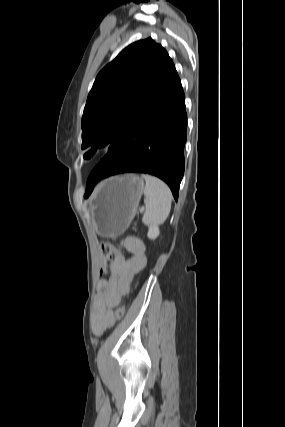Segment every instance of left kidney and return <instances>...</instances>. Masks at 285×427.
I'll return each mask as SVG.
<instances>
[{"instance_id": "5707ae66", "label": "left kidney", "mask_w": 285, "mask_h": 427, "mask_svg": "<svg viewBox=\"0 0 285 427\" xmlns=\"http://www.w3.org/2000/svg\"><path fill=\"white\" fill-rule=\"evenodd\" d=\"M160 234L158 225H150L148 230V238L151 240L156 239Z\"/></svg>"}]
</instances>
